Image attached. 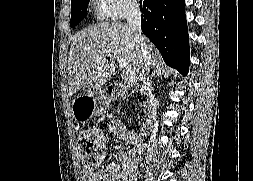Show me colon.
I'll use <instances>...</instances> for the list:
<instances>
[{"instance_id": "colon-1", "label": "colon", "mask_w": 253, "mask_h": 181, "mask_svg": "<svg viewBox=\"0 0 253 181\" xmlns=\"http://www.w3.org/2000/svg\"><path fill=\"white\" fill-rule=\"evenodd\" d=\"M79 151L83 166L90 171L97 169L106 152L103 133L94 128L84 130L79 137Z\"/></svg>"}]
</instances>
